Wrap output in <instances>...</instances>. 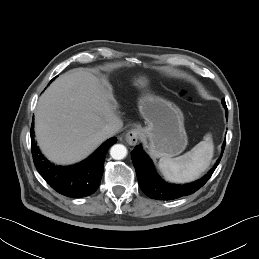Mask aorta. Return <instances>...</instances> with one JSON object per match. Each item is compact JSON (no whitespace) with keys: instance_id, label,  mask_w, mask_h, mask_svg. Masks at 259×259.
<instances>
[{"instance_id":"762f6f07","label":"aorta","mask_w":259,"mask_h":259,"mask_svg":"<svg viewBox=\"0 0 259 259\" xmlns=\"http://www.w3.org/2000/svg\"><path fill=\"white\" fill-rule=\"evenodd\" d=\"M110 155L115 160H121L126 157L127 149L122 144H115L110 149Z\"/></svg>"}]
</instances>
